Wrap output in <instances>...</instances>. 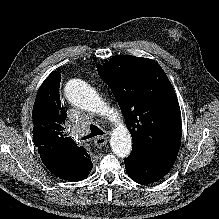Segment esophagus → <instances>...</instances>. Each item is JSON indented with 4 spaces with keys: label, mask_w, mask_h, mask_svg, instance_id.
Returning <instances> with one entry per match:
<instances>
[{
    "label": "esophagus",
    "mask_w": 219,
    "mask_h": 219,
    "mask_svg": "<svg viewBox=\"0 0 219 219\" xmlns=\"http://www.w3.org/2000/svg\"><path fill=\"white\" fill-rule=\"evenodd\" d=\"M108 140V136H98L94 139V146L101 148L107 144Z\"/></svg>",
    "instance_id": "1"
}]
</instances>
